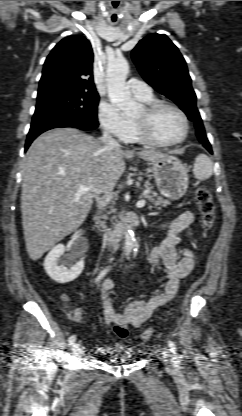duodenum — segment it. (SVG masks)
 Here are the masks:
<instances>
[{
	"label": "duodenum",
	"instance_id": "1",
	"mask_svg": "<svg viewBox=\"0 0 242 416\" xmlns=\"http://www.w3.org/2000/svg\"><path fill=\"white\" fill-rule=\"evenodd\" d=\"M140 223V219L137 216L130 215L127 216L121 223H119L111 232L108 240L107 247L114 248L120 241L123 234L128 230Z\"/></svg>",
	"mask_w": 242,
	"mask_h": 416
}]
</instances>
